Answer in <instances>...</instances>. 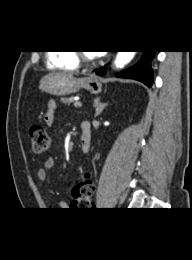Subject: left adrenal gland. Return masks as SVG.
Masks as SVG:
<instances>
[{
    "mask_svg": "<svg viewBox=\"0 0 192 260\" xmlns=\"http://www.w3.org/2000/svg\"><path fill=\"white\" fill-rule=\"evenodd\" d=\"M108 105V103H100V99L97 97L94 100V107H95V117L99 116L103 109Z\"/></svg>",
    "mask_w": 192,
    "mask_h": 260,
    "instance_id": "left-adrenal-gland-1",
    "label": "left adrenal gland"
}]
</instances>
